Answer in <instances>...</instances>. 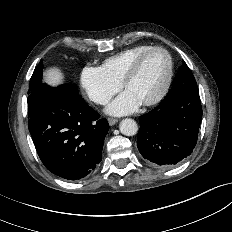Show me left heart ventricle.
Returning <instances> with one entry per match:
<instances>
[{"label": "left heart ventricle", "instance_id": "left-heart-ventricle-1", "mask_svg": "<svg viewBox=\"0 0 232 232\" xmlns=\"http://www.w3.org/2000/svg\"><path fill=\"white\" fill-rule=\"evenodd\" d=\"M167 71L166 54L155 51L143 60L137 74L125 90L143 103L158 94L165 82Z\"/></svg>", "mask_w": 232, "mask_h": 232}]
</instances>
